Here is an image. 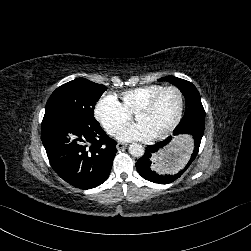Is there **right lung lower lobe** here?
Masks as SVG:
<instances>
[{
    "label": "right lung lower lobe",
    "mask_w": 251,
    "mask_h": 251,
    "mask_svg": "<svg viewBox=\"0 0 251 251\" xmlns=\"http://www.w3.org/2000/svg\"><path fill=\"white\" fill-rule=\"evenodd\" d=\"M41 139L53 170L69 184L90 189L109 176L117 142L100 124L65 113H47Z\"/></svg>",
    "instance_id": "98d812e1"
}]
</instances>
